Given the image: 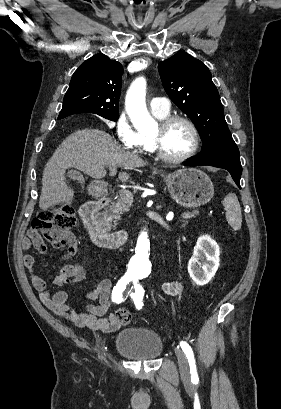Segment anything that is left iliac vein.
Returning a JSON list of instances; mask_svg holds the SVG:
<instances>
[{
  "label": "left iliac vein",
  "mask_w": 281,
  "mask_h": 409,
  "mask_svg": "<svg viewBox=\"0 0 281 409\" xmlns=\"http://www.w3.org/2000/svg\"><path fill=\"white\" fill-rule=\"evenodd\" d=\"M174 351H175V355L178 360V366H179L181 375L184 377L189 376V367H188L187 359H186L184 352L179 348H175Z\"/></svg>",
  "instance_id": "obj_1"
}]
</instances>
